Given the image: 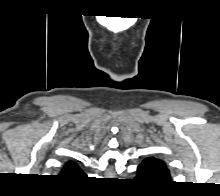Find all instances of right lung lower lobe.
<instances>
[{"mask_svg": "<svg viewBox=\"0 0 220 196\" xmlns=\"http://www.w3.org/2000/svg\"><path fill=\"white\" fill-rule=\"evenodd\" d=\"M83 176H85V174L81 175V176L73 177V178H82ZM70 178H72V177H70Z\"/></svg>", "mask_w": 220, "mask_h": 196, "instance_id": "98d812e1", "label": "right lung lower lobe"}]
</instances>
